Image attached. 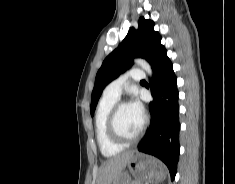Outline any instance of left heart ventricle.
<instances>
[{"label":"left heart ventricle","instance_id":"b2bd125f","mask_svg":"<svg viewBox=\"0 0 235 184\" xmlns=\"http://www.w3.org/2000/svg\"><path fill=\"white\" fill-rule=\"evenodd\" d=\"M117 122L121 133L127 138H133L142 127L143 116L134 113L129 105H127L119 111Z\"/></svg>","mask_w":235,"mask_h":184}]
</instances>
